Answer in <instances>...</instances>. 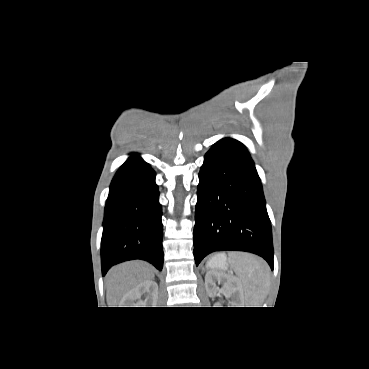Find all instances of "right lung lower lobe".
<instances>
[{
    "instance_id": "right-lung-lower-lobe-1",
    "label": "right lung lower lobe",
    "mask_w": 369,
    "mask_h": 369,
    "mask_svg": "<svg viewBox=\"0 0 369 369\" xmlns=\"http://www.w3.org/2000/svg\"><path fill=\"white\" fill-rule=\"evenodd\" d=\"M162 209L155 172L133 154L117 171L105 206L102 274L123 261L142 259L163 268Z\"/></svg>"
}]
</instances>
